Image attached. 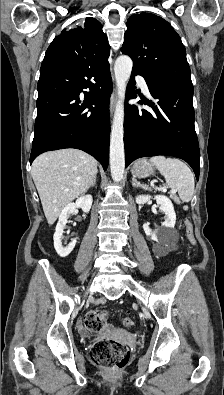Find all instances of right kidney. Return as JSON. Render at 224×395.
Here are the masks:
<instances>
[{
	"instance_id": "right-kidney-1",
	"label": "right kidney",
	"mask_w": 224,
	"mask_h": 395,
	"mask_svg": "<svg viewBox=\"0 0 224 395\" xmlns=\"http://www.w3.org/2000/svg\"><path fill=\"white\" fill-rule=\"evenodd\" d=\"M92 202L93 198L91 195H83L78 198L75 203H69L62 210L53 236L54 248L60 257H67L72 252L77 242V240L74 239L66 247L62 245L61 239L64 233V226L67 223L68 218L76 211V208H81L83 212L88 213L91 209Z\"/></svg>"
}]
</instances>
